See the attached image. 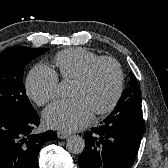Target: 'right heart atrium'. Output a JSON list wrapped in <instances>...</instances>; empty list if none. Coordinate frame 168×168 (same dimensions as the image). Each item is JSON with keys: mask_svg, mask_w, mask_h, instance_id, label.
<instances>
[{"mask_svg": "<svg viewBox=\"0 0 168 168\" xmlns=\"http://www.w3.org/2000/svg\"><path fill=\"white\" fill-rule=\"evenodd\" d=\"M59 78L54 69L46 65L34 66L25 82L27 95L39 106L53 100L58 94Z\"/></svg>", "mask_w": 168, "mask_h": 168, "instance_id": "right-heart-atrium-1", "label": "right heart atrium"}]
</instances>
